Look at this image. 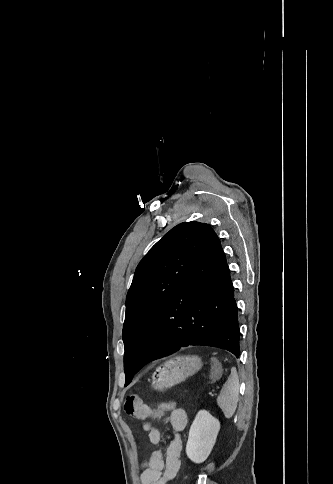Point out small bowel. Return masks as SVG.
Listing matches in <instances>:
<instances>
[{
    "label": "small bowel",
    "mask_w": 333,
    "mask_h": 484,
    "mask_svg": "<svg viewBox=\"0 0 333 484\" xmlns=\"http://www.w3.org/2000/svg\"><path fill=\"white\" fill-rule=\"evenodd\" d=\"M124 409L128 415L136 419H165L171 427L172 433L163 439L157 429L148 423L144 425L150 442L156 448L149 454L141 473L142 484H170L181 466L182 433L188 424L186 412L182 408H176L160 416H155L154 409L145 404L137 395H130L126 398ZM162 442L166 443L165 454L159 449Z\"/></svg>",
    "instance_id": "c3829d8e"
}]
</instances>
